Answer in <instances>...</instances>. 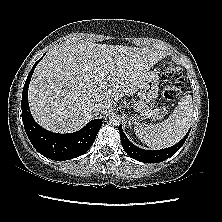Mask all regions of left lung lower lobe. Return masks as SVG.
Wrapping results in <instances>:
<instances>
[{"instance_id": "1", "label": "left lung lower lobe", "mask_w": 222, "mask_h": 222, "mask_svg": "<svg viewBox=\"0 0 222 222\" xmlns=\"http://www.w3.org/2000/svg\"><path fill=\"white\" fill-rule=\"evenodd\" d=\"M118 129L120 132L121 143L126 153L131 158L138 160L140 162H144V163H158L173 156L184 144L190 132L189 130L188 133L184 136V138L180 142L175 144L174 146H171L169 148L162 149V150L152 151V150H144V149L138 148L137 146L132 144L129 141V139L126 137V135L124 134L122 130L121 125H119Z\"/></svg>"}]
</instances>
